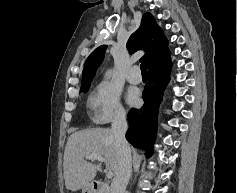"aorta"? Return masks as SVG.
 <instances>
[{"mask_svg": "<svg viewBox=\"0 0 237 193\" xmlns=\"http://www.w3.org/2000/svg\"><path fill=\"white\" fill-rule=\"evenodd\" d=\"M111 74V71H108L107 73H106V75H110Z\"/></svg>", "mask_w": 237, "mask_h": 193, "instance_id": "aorta-1", "label": "aorta"}]
</instances>
